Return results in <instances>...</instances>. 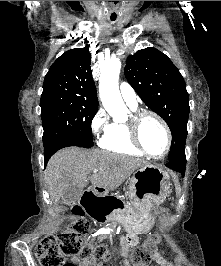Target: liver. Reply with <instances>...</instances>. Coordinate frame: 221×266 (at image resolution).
I'll return each mask as SVG.
<instances>
[{
	"mask_svg": "<svg viewBox=\"0 0 221 266\" xmlns=\"http://www.w3.org/2000/svg\"><path fill=\"white\" fill-rule=\"evenodd\" d=\"M144 159L111 153L99 149L65 148L56 152L48 162L45 179L50 199L58 204L70 186H92L114 190L140 167L148 165ZM93 169L98 172L89 176Z\"/></svg>",
	"mask_w": 221,
	"mask_h": 266,
	"instance_id": "liver-1",
	"label": "liver"
}]
</instances>
